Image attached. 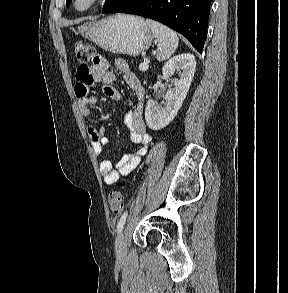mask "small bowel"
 <instances>
[{"label": "small bowel", "mask_w": 288, "mask_h": 293, "mask_svg": "<svg viewBox=\"0 0 288 293\" xmlns=\"http://www.w3.org/2000/svg\"><path fill=\"white\" fill-rule=\"evenodd\" d=\"M115 67L123 75L127 86L134 92L136 105L126 113L125 124L129 129L131 141L136 145H142V147L124 156L115 167L107 159L101 161L100 171L104 182L108 185L117 183L120 176L129 175L138 166L143 156L147 153L149 145L153 142V137L146 131L142 118L145 100L144 87L140 80L130 72L125 61L121 59L115 60ZM76 78L78 83L75 87V94L78 99L80 113L85 117L90 115L91 108L97 103V98L89 94V90L94 84L101 83L102 90L107 97L113 100L121 99L120 92L111 85L115 81L116 75L110 69L109 61L100 55L95 56L91 66L80 65L76 72ZM88 135L94 151L97 155H101L108 143L104 124L89 126Z\"/></svg>", "instance_id": "small-bowel-1"}]
</instances>
